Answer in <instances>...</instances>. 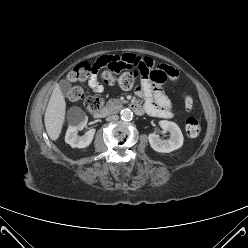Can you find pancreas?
<instances>
[{
	"instance_id": "obj_1",
	"label": "pancreas",
	"mask_w": 248,
	"mask_h": 248,
	"mask_svg": "<svg viewBox=\"0 0 248 248\" xmlns=\"http://www.w3.org/2000/svg\"><path fill=\"white\" fill-rule=\"evenodd\" d=\"M122 105V101L119 99L110 100L107 102L106 107L110 110H118Z\"/></svg>"
}]
</instances>
